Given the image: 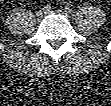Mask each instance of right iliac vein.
Wrapping results in <instances>:
<instances>
[{"instance_id":"63e3f726","label":"right iliac vein","mask_w":111,"mask_h":106,"mask_svg":"<svg viewBox=\"0 0 111 106\" xmlns=\"http://www.w3.org/2000/svg\"><path fill=\"white\" fill-rule=\"evenodd\" d=\"M47 11H45L44 9H41L37 12V17L38 18H43L46 15Z\"/></svg>"}]
</instances>
